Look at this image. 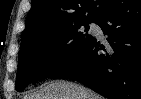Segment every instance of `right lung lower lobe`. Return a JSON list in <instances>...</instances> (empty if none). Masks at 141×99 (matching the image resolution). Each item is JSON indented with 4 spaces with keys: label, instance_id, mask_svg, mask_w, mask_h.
Listing matches in <instances>:
<instances>
[{
    "label": "right lung lower lobe",
    "instance_id": "1",
    "mask_svg": "<svg viewBox=\"0 0 141 99\" xmlns=\"http://www.w3.org/2000/svg\"><path fill=\"white\" fill-rule=\"evenodd\" d=\"M95 23L107 42L92 38L53 76L80 81L109 99H141V0H115Z\"/></svg>",
    "mask_w": 141,
    "mask_h": 99
}]
</instances>
